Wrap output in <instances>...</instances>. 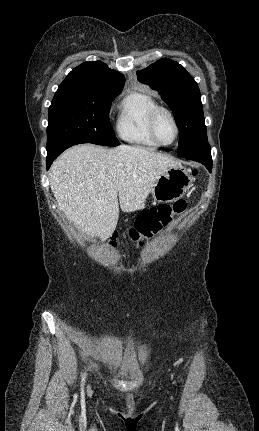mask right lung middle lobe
<instances>
[{"instance_id": "right-lung-middle-lobe-1", "label": "right lung middle lobe", "mask_w": 259, "mask_h": 431, "mask_svg": "<svg viewBox=\"0 0 259 431\" xmlns=\"http://www.w3.org/2000/svg\"><path fill=\"white\" fill-rule=\"evenodd\" d=\"M119 93L56 92L49 107L47 148L65 140L118 146L108 115L111 101Z\"/></svg>"}]
</instances>
